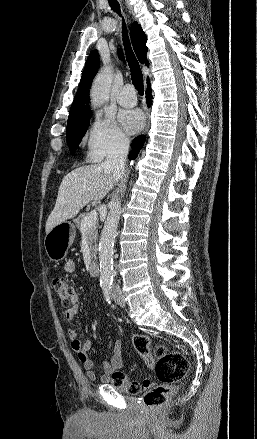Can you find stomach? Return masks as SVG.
<instances>
[{"label": "stomach", "instance_id": "obj_1", "mask_svg": "<svg viewBox=\"0 0 257 439\" xmlns=\"http://www.w3.org/2000/svg\"><path fill=\"white\" fill-rule=\"evenodd\" d=\"M76 236V229L70 221H64L53 227L46 235L44 247L51 261L58 262L65 258Z\"/></svg>", "mask_w": 257, "mask_h": 439}]
</instances>
